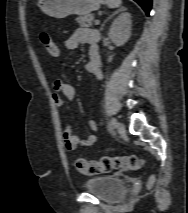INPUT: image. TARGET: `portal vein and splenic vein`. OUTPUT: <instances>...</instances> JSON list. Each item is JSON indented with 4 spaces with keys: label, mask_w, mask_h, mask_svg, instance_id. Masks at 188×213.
<instances>
[{
    "label": "portal vein and splenic vein",
    "mask_w": 188,
    "mask_h": 213,
    "mask_svg": "<svg viewBox=\"0 0 188 213\" xmlns=\"http://www.w3.org/2000/svg\"><path fill=\"white\" fill-rule=\"evenodd\" d=\"M99 23H100V20H99V19H96V20H95V24L98 25Z\"/></svg>",
    "instance_id": "1"
}]
</instances>
